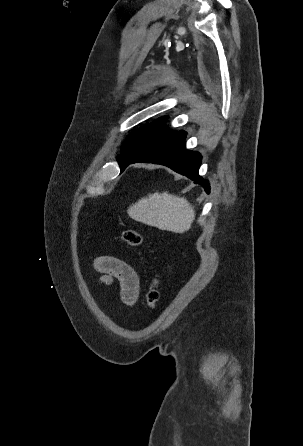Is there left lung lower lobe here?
<instances>
[{"instance_id": "left-lung-lower-lobe-1", "label": "left lung lower lobe", "mask_w": 303, "mask_h": 446, "mask_svg": "<svg viewBox=\"0 0 303 446\" xmlns=\"http://www.w3.org/2000/svg\"><path fill=\"white\" fill-rule=\"evenodd\" d=\"M186 135V132L178 131L173 135L156 142L137 156L126 160L120 166L121 172L132 163L144 162L161 164L170 167L177 173L185 175L193 180L194 183L201 184L205 191L209 193L210 186L208 181L198 175V170L201 164V155L198 152L186 150Z\"/></svg>"}]
</instances>
